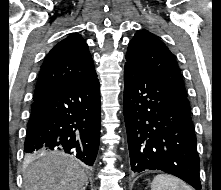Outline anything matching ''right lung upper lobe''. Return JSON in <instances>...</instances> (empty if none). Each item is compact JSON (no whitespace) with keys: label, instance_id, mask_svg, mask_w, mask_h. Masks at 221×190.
<instances>
[{"label":"right lung upper lobe","instance_id":"obj_1","mask_svg":"<svg viewBox=\"0 0 221 190\" xmlns=\"http://www.w3.org/2000/svg\"><path fill=\"white\" fill-rule=\"evenodd\" d=\"M96 74L87 43L74 33L56 44L40 69L34 97L38 98L66 85Z\"/></svg>","mask_w":221,"mask_h":190}]
</instances>
